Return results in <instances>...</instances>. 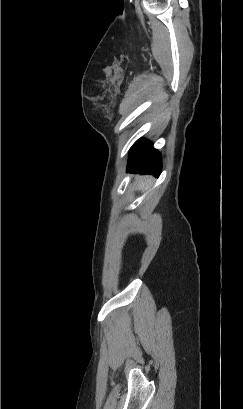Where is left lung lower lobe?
Here are the masks:
<instances>
[{
    "label": "left lung lower lobe",
    "mask_w": 243,
    "mask_h": 409,
    "mask_svg": "<svg viewBox=\"0 0 243 409\" xmlns=\"http://www.w3.org/2000/svg\"><path fill=\"white\" fill-rule=\"evenodd\" d=\"M127 172L160 175L161 155L151 142L139 139L134 143L129 153Z\"/></svg>",
    "instance_id": "left-lung-lower-lobe-1"
}]
</instances>
